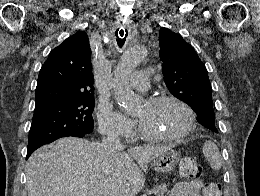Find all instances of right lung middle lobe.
<instances>
[{"instance_id": "dd1d6c3e", "label": "right lung middle lobe", "mask_w": 260, "mask_h": 196, "mask_svg": "<svg viewBox=\"0 0 260 196\" xmlns=\"http://www.w3.org/2000/svg\"><path fill=\"white\" fill-rule=\"evenodd\" d=\"M94 93L61 96L35 106L28 138V150L56 139L93 131Z\"/></svg>"}]
</instances>
